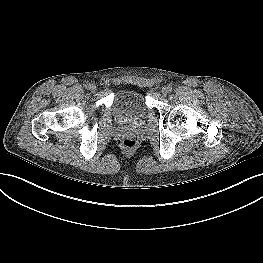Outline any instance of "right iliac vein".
Instances as JSON below:
<instances>
[{
  "mask_svg": "<svg viewBox=\"0 0 263 263\" xmlns=\"http://www.w3.org/2000/svg\"><path fill=\"white\" fill-rule=\"evenodd\" d=\"M90 90L92 92H96L97 91V87L95 85H91Z\"/></svg>",
  "mask_w": 263,
  "mask_h": 263,
  "instance_id": "obj_1",
  "label": "right iliac vein"
}]
</instances>
